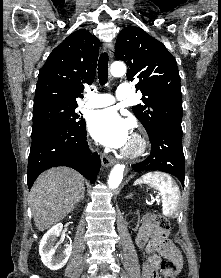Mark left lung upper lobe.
I'll use <instances>...</instances> for the list:
<instances>
[{"mask_svg": "<svg viewBox=\"0 0 221 278\" xmlns=\"http://www.w3.org/2000/svg\"><path fill=\"white\" fill-rule=\"evenodd\" d=\"M115 57L128 66L127 78L139 79L143 104L132 107L147 133L159 125L181 126L180 76L175 58L164 44L143 29L128 26L117 37Z\"/></svg>", "mask_w": 221, "mask_h": 278, "instance_id": "5c2ea615", "label": "left lung upper lobe"}]
</instances>
